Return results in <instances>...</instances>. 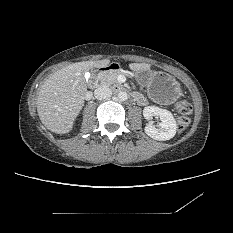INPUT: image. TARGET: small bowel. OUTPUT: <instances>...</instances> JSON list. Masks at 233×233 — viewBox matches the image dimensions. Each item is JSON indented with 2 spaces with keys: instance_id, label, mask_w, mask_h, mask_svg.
I'll return each mask as SVG.
<instances>
[{
  "instance_id": "c3829d8e",
  "label": "small bowel",
  "mask_w": 233,
  "mask_h": 233,
  "mask_svg": "<svg viewBox=\"0 0 233 233\" xmlns=\"http://www.w3.org/2000/svg\"><path fill=\"white\" fill-rule=\"evenodd\" d=\"M136 94H137V93H136ZM137 95H138V97L136 98V100L138 101V103H139L140 105H144V104L146 103L144 97H143L142 95H140V94H137Z\"/></svg>"
}]
</instances>
